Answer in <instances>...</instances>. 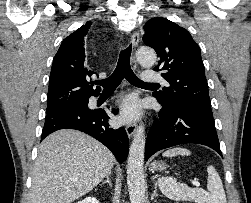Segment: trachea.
Here are the masks:
<instances>
[{"label":"trachea","mask_w":251,"mask_h":203,"mask_svg":"<svg viewBox=\"0 0 251 203\" xmlns=\"http://www.w3.org/2000/svg\"><path fill=\"white\" fill-rule=\"evenodd\" d=\"M132 51V45L121 51L117 67L114 72L106 79L97 81L96 84L100 85L107 90H115L123 79H126L129 83L135 86H155L157 84L144 83L141 81L132 71L130 66V56Z\"/></svg>","instance_id":"obj_1"}]
</instances>
